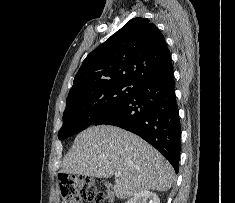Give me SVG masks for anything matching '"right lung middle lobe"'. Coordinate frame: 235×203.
Segmentation results:
<instances>
[{
    "mask_svg": "<svg viewBox=\"0 0 235 203\" xmlns=\"http://www.w3.org/2000/svg\"><path fill=\"white\" fill-rule=\"evenodd\" d=\"M139 84L128 80H111L69 93L58 138L72 136L94 124L125 102Z\"/></svg>",
    "mask_w": 235,
    "mask_h": 203,
    "instance_id": "right-lung-middle-lobe-1",
    "label": "right lung middle lobe"
}]
</instances>
